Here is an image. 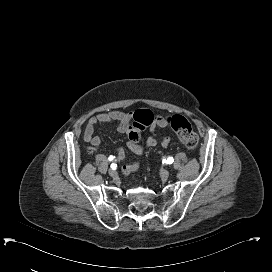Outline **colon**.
Listing matches in <instances>:
<instances>
[{
  "instance_id": "colon-1",
  "label": "colon",
  "mask_w": 272,
  "mask_h": 272,
  "mask_svg": "<svg viewBox=\"0 0 272 272\" xmlns=\"http://www.w3.org/2000/svg\"><path fill=\"white\" fill-rule=\"evenodd\" d=\"M150 116L147 112H137L132 117V127L140 129L147 125ZM167 126L171 127L177 134L179 140L188 150L196 149L198 145V136L193 130L190 122L181 115H173L165 118ZM130 142L136 143L139 140L138 133L133 130L129 134Z\"/></svg>"
}]
</instances>
